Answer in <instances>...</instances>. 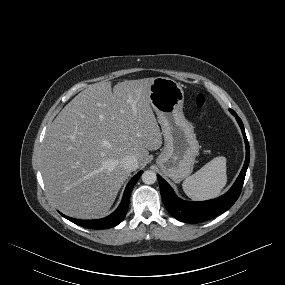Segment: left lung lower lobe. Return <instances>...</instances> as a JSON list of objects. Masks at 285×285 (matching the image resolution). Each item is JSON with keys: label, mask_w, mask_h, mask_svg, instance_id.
I'll return each instance as SVG.
<instances>
[{"label": "left lung lower lobe", "mask_w": 285, "mask_h": 285, "mask_svg": "<svg viewBox=\"0 0 285 285\" xmlns=\"http://www.w3.org/2000/svg\"><path fill=\"white\" fill-rule=\"evenodd\" d=\"M230 112L236 117V120L241 127L246 145V159L240 175L226 194L219 198L208 201H184L175 195L173 189L163 178H161V176L157 175L164 205L169 213L179 221L200 223L214 218L231 208L241 193L246 171L249 165L250 149L241 119L233 110L230 109Z\"/></svg>", "instance_id": "0a47b994"}]
</instances>
